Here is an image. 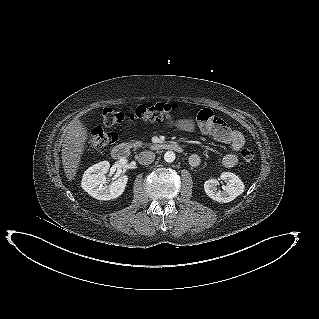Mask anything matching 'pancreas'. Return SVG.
<instances>
[{
  "label": "pancreas",
  "instance_id": "1",
  "mask_svg": "<svg viewBox=\"0 0 319 319\" xmlns=\"http://www.w3.org/2000/svg\"><path fill=\"white\" fill-rule=\"evenodd\" d=\"M146 146V143H143L142 141H132L130 143H128V146L131 148H136V147H141V146Z\"/></svg>",
  "mask_w": 319,
  "mask_h": 319
}]
</instances>
